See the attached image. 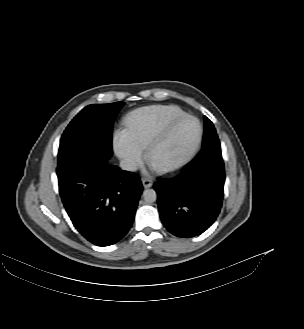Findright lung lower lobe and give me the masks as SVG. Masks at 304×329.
<instances>
[{
	"mask_svg": "<svg viewBox=\"0 0 304 329\" xmlns=\"http://www.w3.org/2000/svg\"><path fill=\"white\" fill-rule=\"evenodd\" d=\"M57 176L65 209L88 241L109 246L126 235L143 189L136 174L84 157L58 166Z\"/></svg>",
	"mask_w": 304,
	"mask_h": 329,
	"instance_id": "right-lung-lower-lobe-1",
	"label": "right lung lower lobe"
}]
</instances>
